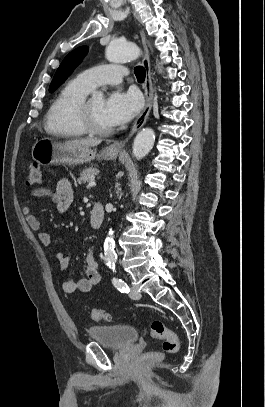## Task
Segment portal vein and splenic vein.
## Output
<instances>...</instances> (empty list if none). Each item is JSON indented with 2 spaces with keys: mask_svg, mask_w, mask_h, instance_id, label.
<instances>
[{
  "mask_svg": "<svg viewBox=\"0 0 265 407\" xmlns=\"http://www.w3.org/2000/svg\"><path fill=\"white\" fill-rule=\"evenodd\" d=\"M94 186H96V183H95L94 180L90 181V182L88 183V185H87V187H94Z\"/></svg>",
  "mask_w": 265,
  "mask_h": 407,
  "instance_id": "1",
  "label": "portal vein and splenic vein"
}]
</instances>
